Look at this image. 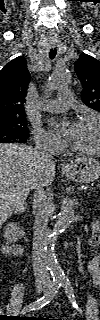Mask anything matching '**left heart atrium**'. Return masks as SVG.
Here are the masks:
<instances>
[{
	"label": "left heart atrium",
	"instance_id": "39dd6f15",
	"mask_svg": "<svg viewBox=\"0 0 100 320\" xmlns=\"http://www.w3.org/2000/svg\"><path fill=\"white\" fill-rule=\"evenodd\" d=\"M73 126H74V125H72V126L70 127V129H72V128H73Z\"/></svg>",
	"mask_w": 100,
	"mask_h": 320
}]
</instances>
